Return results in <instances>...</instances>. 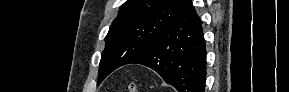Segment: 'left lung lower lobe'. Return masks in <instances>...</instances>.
I'll list each match as a JSON object with an SVG mask.
<instances>
[{
    "instance_id": "left-lung-lower-lobe-1",
    "label": "left lung lower lobe",
    "mask_w": 289,
    "mask_h": 92,
    "mask_svg": "<svg viewBox=\"0 0 289 92\" xmlns=\"http://www.w3.org/2000/svg\"><path fill=\"white\" fill-rule=\"evenodd\" d=\"M155 70L178 92H205L206 44L192 2L184 13L129 63Z\"/></svg>"
}]
</instances>
